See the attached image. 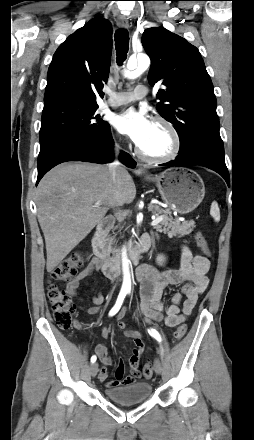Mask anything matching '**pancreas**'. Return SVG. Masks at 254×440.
Returning a JSON list of instances; mask_svg holds the SVG:
<instances>
[{"mask_svg":"<svg viewBox=\"0 0 254 440\" xmlns=\"http://www.w3.org/2000/svg\"><path fill=\"white\" fill-rule=\"evenodd\" d=\"M149 210L152 211L153 215H155L156 217L160 216L161 214L166 216V218L154 228L158 232H163L167 234L169 237H183L185 235H189L195 227L194 221L180 222L178 220H174L169 210H164L157 205H149ZM112 243L113 239L109 238L108 245L110 247ZM111 251L113 253H116L118 250L111 249Z\"/></svg>","mask_w":254,"mask_h":440,"instance_id":"cf45deb5","label":"pancreas"}]
</instances>
